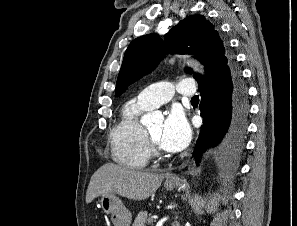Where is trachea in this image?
I'll list each match as a JSON object with an SVG mask.
<instances>
[{
    "label": "trachea",
    "mask_w": 297,
    "mask_h": 226,
    "mask_svg": "<svg viewBox=\"0 0 297 226\" xmlns=\"http://www.w3.org/2000/svg\"><path fill=\"white\" fill-rule=\"evenodd\" d=\"M198 101H199L198 96H194V97L191 99V102H198Z\"/></svg>",
    "instance_id": "trachea-1"
}]
</instances>
